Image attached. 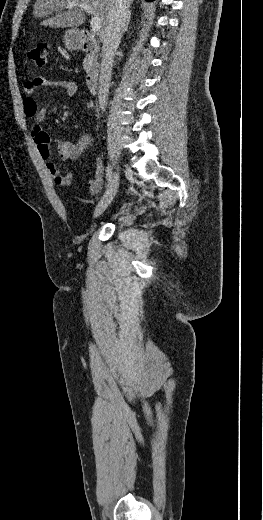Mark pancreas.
Wrapping results in <instances>:
<instances>
[{
    "mask_svg": "<svg viewBox=\"0 0 263 520\" xmlns=\"http://www.w3.org/2000/svg\"><path fill=\"white\" fill-rule=\"evenodd\" d=\"M92 60H93V58L91 56L86 57L84 59L83 67H84L85 70H87L89 68V66L91 65Z\"/></svg>",
    "mask_w": 263,
    "mask_h": 520,
    "instance_id": "1",
    "label": "pancreas"
}]
</instances>
